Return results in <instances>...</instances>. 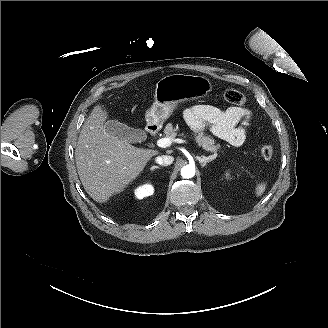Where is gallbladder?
Listing matches in <instances>:
<instances>
[{
  "mask_svg": "<svg viewBox=\"0 0 328 328\" xmlns=\"http://www.w3.org/2000/svg\"><path fill=\"white\" fill-rule=\"evenodd\" d=\"M104 132L129 143H140L146 140L147 134L142 129H135L116 120H109L104 124Z\"/></svg>",
  "mask_w": 328,
  "mask_h": 328,
  "instance_id": "gallbladder-1",
  "label": "gallbladder"
}]
</instances>
